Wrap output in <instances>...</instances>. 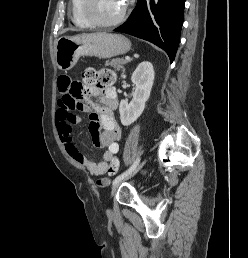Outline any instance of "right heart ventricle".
<instances>
[{
	"label": "right heart ventricle",
	"mask_w": 248,
	"mask_h": 258,
	"mask_svg": "<svg viewBox=\"0 0 248 258\" xmlns=\"http://www.w3.org/2000/svg\"><path fill=\"white\" fill-rule=\"evenodd\" d=\"M71 18L73 23L79 27L90 26L81 12V0H71Z\"/></svg>",
	"instance_id": "right-heart-ventricle-1"
}]
</instances>
